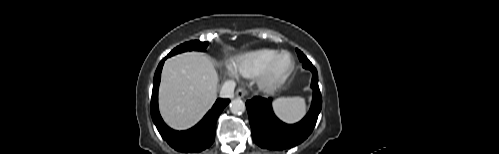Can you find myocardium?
Wrapping results in <instances>:
<instances>
[{"mask_svg": "<svg viewBox=\"0 0 499 154\" xmlns=\"http://www.w3.org/2000/svg\"><path fill=\"white\" fill-rule=\"evenodd\" d=\"M281 59H285L287 64L283 69L278 68ZM294 60L287 52L276 54L269 62L264 71L258 76V86L265 93H272L280 88L289 78L294 70Z\"/></svg>", "mask_w": 499, "mask_h": 154, "instance_id": "obj_1", "label": "myocardium"}]
</instances>
